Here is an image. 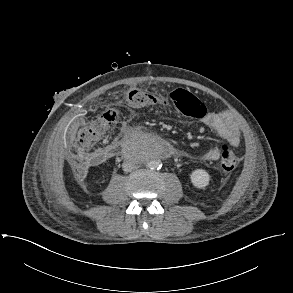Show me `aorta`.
<instances>
[{
	"label": "aorta",
	"mask_w": 293,
	"mask_h": 293,
	"mask_svg": "<svg viewBox=\"0 0 293 293\" xmlns=\"http://www.w3.org/2000/svg\"><path fill=\"white\" fill-rule=\"evenodd\" d=\"M147 167L149 169H152V170H156V169H159L161 167V163L159 160H150L148 163H147Z\"/></svg>",
	"instance_id": "1"
}]
</instances>
